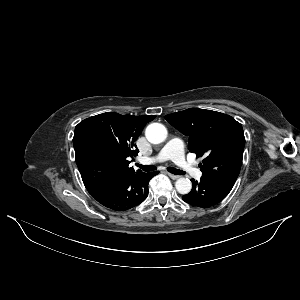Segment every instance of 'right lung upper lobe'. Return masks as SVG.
<instances>
[{"label":"right lung upper lobe","instance_id":"cb5924a9","mask_svg":"<svg viewBox=\"0 0 300 300\" xmlns=\"http://www.w3.org/2000/svg\"><path fill=\"white\" fill-rule=\"evenodd\" d=\"M155 117L103 113L81 121L75 127L74 135L80 132H90L93 135L95 143L110 163L112 182L135 173L133 167L129 166V160L139 152L135 141L146 123Z\"/></svg>","mask_w":300,"mask_h":300}]
</instances>
